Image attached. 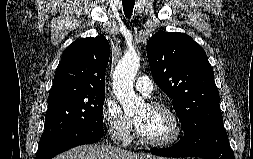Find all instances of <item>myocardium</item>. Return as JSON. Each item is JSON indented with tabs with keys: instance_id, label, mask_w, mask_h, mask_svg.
<instances>
[{
	"instance_id": "f54148a6",
	"label": "myocardium",
	"mask_w": 253,
	"mask_h": 159,
	"mask_svg": "<svg viewBox=\"0 0 253 159\" xmlns=\"http://www.w3.org/2000/svg\"><path fill=\"white\" fill-rule=\"evenodd\" d=\"M150 108L154 109H160L166 112L169 117L171 118L172 124H173V133L170 137L163 139V140H150L145 138L142 133L140 132L138 126L136 127V134L138 137V140L147 146L152 147H167L174 143H176L183 133V126L181 123V120L179 119L177 113L174 111L172 107L169 105L162 103V102H153L149 105Z\"/></svg>"
}]
</instances>
